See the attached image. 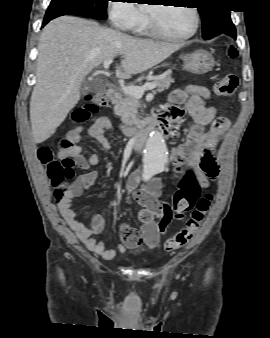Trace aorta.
<instances>
[{
    "instance_id": "1",
    "label": "aorta",
    "mask_w": 270,
    "mask_h": 338,
    "mask_svg": "<svg viewBox=\"0 0 270 338\" xmlns=\"http://www.w3.org/2000/svg\"><path fill=\"white\" fill-rule=\"evenodd\" d=\"M144 178L149 179L154 174L162 172L168 163V155L163 135L159 131H153L145 146Z\"/></svg>"
}]
</instances>
